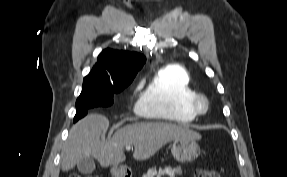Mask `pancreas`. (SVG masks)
Segmentation results:
<instances>
[{
  "instance_id": "obj_1",
  "label": "pancreas",
  "mask_w": 287,
  "mask_h": 177,
  "mask_svg": "<svg viewBox=\"0 0 287 177\" xmlns=\"http://www.w3.org/2000/svg\"><path fill=\"white\" fill-rule=\"evenodd\" d=\"M180 174H182L181 167L177 168L165 167L164 169L160 167L158 170L155 168L149 169L147 173L143 174L142 177H163V176L175 177V175Z\"/></svg>"
}]
</instances>
